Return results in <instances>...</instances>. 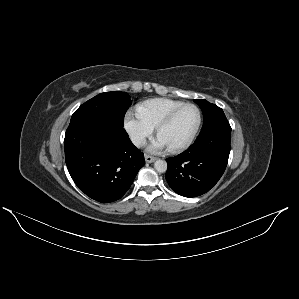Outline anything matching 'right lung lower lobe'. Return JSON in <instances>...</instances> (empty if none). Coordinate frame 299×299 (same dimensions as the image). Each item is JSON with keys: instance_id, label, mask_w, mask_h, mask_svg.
<instances>
[{"instance_id": "right-lung-lower-lobe-1", "label": "right lung lower lobe", "mask_w": 299, "mask_h": 299, "mask_svg": "<svg viewBox=\"0 0 299 299\" xmlns=\"http://www.w3.org/2000/svg\"><path fill=\"white\" fill-rule=\"evenodd\" d=\"M68 171L81 191L109 203L121 198L145 164L124 128L104 120L69 124L65 139Z\"/></svg>"}]
</instances>
